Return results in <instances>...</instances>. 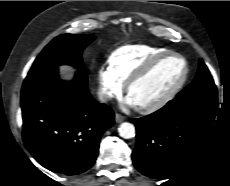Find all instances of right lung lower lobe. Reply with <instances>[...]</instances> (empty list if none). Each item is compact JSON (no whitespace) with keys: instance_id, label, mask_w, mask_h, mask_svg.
<instances>
[{"instance_id":"right-lung-lower-lobe-1","label":"right lung lower lobe","mask_w":230,"mask_h":186,"mask_svg":"<svg viewBox=\"0 0 230 186\" xmlns=\"http://www.w3.org/2000/svg\"><path fill=\"white\" fill-rule=\"evenodd\" d=\"M87 76L61 81L58 68L27 76L21 91L23 140L43 167L66 175L89 169L114 113L93 99Z\"/></svg>"}]
</instances>
